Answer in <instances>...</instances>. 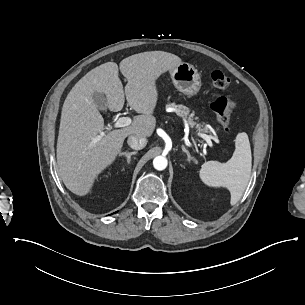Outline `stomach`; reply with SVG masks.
Masks as SVG:
<instances>
[{
	"label": "stomach",
	"mask_w": 305,
	"mask_h": 305,
	"mask_svg": "<svg viewBox=\"0 0 305 305\" xmlns=\"http://www.w3.org/2000/svg\"><path fill=\"white\" fill-rule=\"evenodd\" d=\"M174 86L188 97L196 96L202 86L199 72L194 66L182 63L170 71Z\"/></svg>",
	"instance_id": "stomach-1"
}]
</instances>
